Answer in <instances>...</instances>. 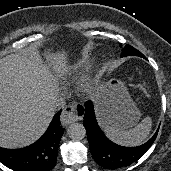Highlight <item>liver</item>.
Returning <instances> with one entry per match:
<instances>
[{"instance_id":"1","label":"liver","mask_w":171,"mask_h":171,"mask_svg":"<svg viewBox=\"0 0 171 171\" xmlns=\"http://www.w3.org/2000/svg\"><path fill=\"white\" fill-rule=\"evenodd\" d=\"M65 58V53L46 55V59H54L59 68L64 66ZM56 99V85L43 62L32 61L19 53L2 58L0 147L21 148L39 139L55 114ZM96 112L98 117L102 115L99 98Z\"/></svg>"}]
</instances>
